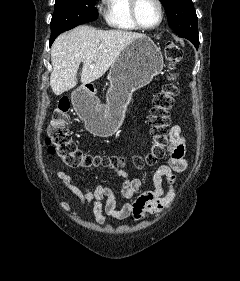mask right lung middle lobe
Masks as SVG:
<instances>
[{
	"label": "right lung middle lobe",
	"mask_w": 240,
	"mask_h": 281,
	"mask_svg": "<svg viewBox=\"0 0 240 281\" xmlns=\"http://www.w3.org/2000/svg\"><path fill=\"white\" fill-rule=\"evenodd\" d=\"M96 0H56L52 15L50 44L62 32L97 19Z\"/></svg>",
	"instance_id": "dd1d6c3e"
}]
</instances>
